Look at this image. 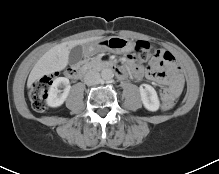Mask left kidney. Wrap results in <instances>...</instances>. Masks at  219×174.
Instances as JSON below:
<instances>
[{
    "instance_id": "1",
    "label": "left kidney",
    "mask_w": 219,
    "mask_h": 174,
    "mask_svg": "<svg viewBox=\"0 0 219 174\" xmlns=\"http://www.w3.org/2000/svg\"><path fill=\"white\" fill-rule=\"evenodd\" d=\"M139 91L144 107L149 111H157L160 107V101L155 89L149 84H142Z\"/></svg>"
}]
</instances>
